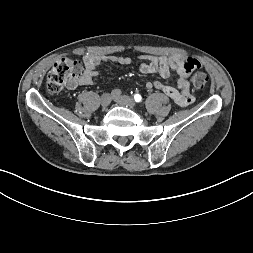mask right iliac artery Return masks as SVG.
Wrapping results in <instances>:
<instances>
[{
  "label": "right iliac artery",
  "instance_id": "1",
  "mask_svg": "<svg viewBox=\"0 0 253 253\" xmlns=\"http://www.w3.org/2000/svg\"><path fill=\"white\" fill-rule=\"evenodd\" d=\"M112 97H118L121 95V90L120 89H114L111 91Z\"/></svg>",
  "mask_w": 253,
  "mask_h": 253
}]
</instances>
